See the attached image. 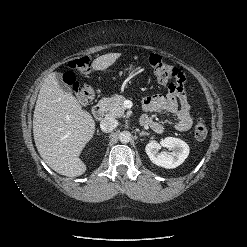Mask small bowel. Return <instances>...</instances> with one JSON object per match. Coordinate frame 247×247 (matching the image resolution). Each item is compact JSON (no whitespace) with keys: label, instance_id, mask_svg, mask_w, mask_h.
I'll use <instances>...</instances> for the list:
<instances>
[{"label":"small bowel","instance_id":"small-bowel-1","mask_svg":"<svg viewBox=\"0 0 247 247\" xmlns=\"http://www.w3.org/2000/svg\"><path fill=\"white\" fill-rule=\"evenodd\" d=\"M142 106L147 112L165 113L173 116L176 120L175 128L178 131H187L192 126L190 105L183 83L170 86L165 94L143 96ZM141 121L156 133L164 131L163 126L148 115L142 116Z\"/></svg>","mask_w":247,"mask_h":247}]
</instances>
